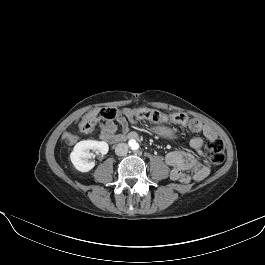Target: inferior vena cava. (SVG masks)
<instances>
[{
  "instance_id": "inferior-vena-cava-1",
  "label": "inferior vena cava",
  "mask_w": 265,
  "mask_h": 265,
  "mask_svg": "<svg viewBox=\"0 0 265 265\" xmlns=\"http://www.w3.org/2000/svg\"><path fill=\"white\" fill-rule=\"evenodd\" d=\"M128 145L126 143H119L117 144V146L115 147V153L118 156H124L127 154L128 152Z\"/></svg>"
}]
</instances>
